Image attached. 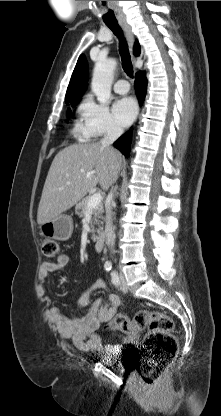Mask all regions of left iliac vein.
<instances>
[{
	"instance_id": "4c4485c4",
	"label": "left iliac vein",
	"mask_w": 221,
	"mask_h": 416,
	"mask_svg": "<svg viewBox=\"0 0 221 416\" xmlns=\"http://www.w3.org/2000/svg\"><path fill=\"white\" fill-rule=\"evenodd\" d=\"M120 289L123 292H127L128 291V286H127L125 277L123 275L120 276Z\"/></svg>"
}]
</instances>
